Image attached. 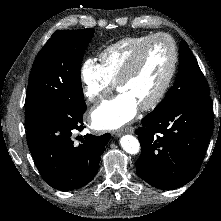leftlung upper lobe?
<instances>
[{
    "label": "left lung upper lobe",
    "mask_w": 221,
    "mask_h": 221,
    "mask_svg": "<svg viewBox=\"0 0 221 221\" xmlns=\"http://www.w3.org/2000/svg\"><path fill=\"white\" fill-rule=\"evenodd\" d=\"M179 62V71L174 85L154 110L168 106L179 98L192 99L210 94L207 81L185 41L180 44Z\"/></svg>",
    "instance_id": "1"
}]
</instances>
